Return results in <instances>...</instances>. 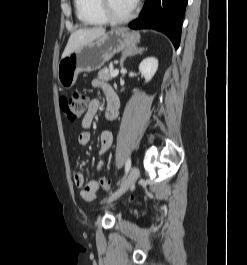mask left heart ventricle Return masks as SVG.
I'll use <instances>...</instances> for the list:
<instances>
[{"mask_svg":"<svg viewBox=\"0 0 247 265\" xmlns=\"http://www.w3.org/2000/svg\"><path fill=\"white\" fill-rule=\"evenodd\" d=\"M109 4L112 10L120 16L127 15L134 7L130 0H109Z\"/></svg>","mask_w":247,"mask_h":265,"instance_id":"b2bd125f","label":"left heart ventricle"}]
</instances>
